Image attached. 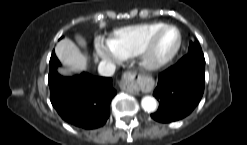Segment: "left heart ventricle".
<instances>
[{"label": "left heart ventricle", "instance_id": "left-heart-ventricle-1", "mask_svg": "<svg viewBox=\"0 0 247 145\" xmlns=\"http://www.w3.org/2000/svg\"><path fill=\"white\" fill-rule=\"evenodd\" d=\"M178 36L174 29H165L162 31L153 46L152 56L155 59H162L167 57L175 48Z\"/></svg>", "mask_w": 247, "mask_h": 145}]
</instances>
